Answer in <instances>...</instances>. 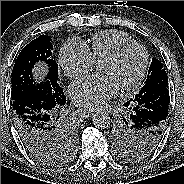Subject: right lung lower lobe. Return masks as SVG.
<instances>
[{"instance_id":"obj_1","label":"right lung lower lobe","mask_w":184,"mask_h":184,"mask_svg":"<svg viewBox=\"0 0 184 184\" xmlns=\"http://www.w3.org/2000/svg\"><path fill=\"white\" fill-rule=\"evenodd\" d=\"M50 99L19 97L12 100L16 129L27 149L46 145L55 138V130L67 121L62 116L66 103L63 89L52 93Z\"/></svg>"}]
</instances>
